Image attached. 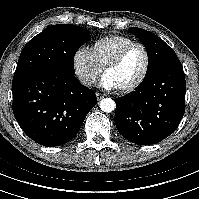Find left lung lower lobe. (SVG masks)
Masks as SVG:
<instances>
[{
    "mask_svg": "<svg viewBox=\"0 0 199 199\" xmlns=\"http://www.w3.org/2000/svg\"><path fill=\"white\" fill-rule=\"evenodd\" d=\"M186 82L179 60L145 77L126 97L116 99L115 125L132 143L150 145L170 136L185 112Z\"/></svg>",
    "mask_w": 199,
    "mask_h": 199,
    "instance_id": "1",
    "label": "left lung lower lobe"
}]
</instances>
